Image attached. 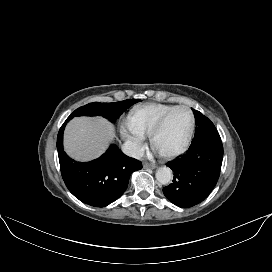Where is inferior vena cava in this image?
<instances>
[{"instance_id": "obj_1", "label": "inferior vena cava", "mask_w": 272, "mask_h": 272, "mask_svg": "<svg viewBox=\"0 0 272 272\" xmlns=\"http://www.w3.org/2000/svg\"><path fill=\"white\" fill-rule=\"evenodd\" d=\"M122 152L132 158L140 159L143 156V151L140 146L134 142L126 141L122 145Z\"/></svg>"}]
</instances>
